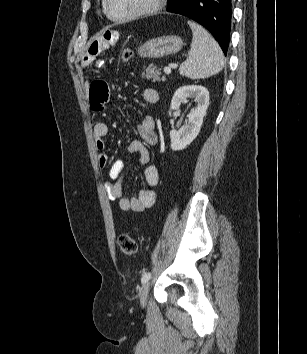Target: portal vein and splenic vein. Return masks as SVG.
<instances>
[{
    "instance_id": "18ae733b",
    "label": "portal vein and splenic vein",
    "mask_w": 307,
    "mask_h": 354,
    "mask_svg": "<svg viewBox=\"0 0 307 354\" xmlns=\"http://www.w3.org/2000/svg\"><path fill=\"white\" fill-rule=\"evenodd\" d=\"M164 72L169 75L171 73V65L165 67Z\"/></svg>"
}]
</instances>
